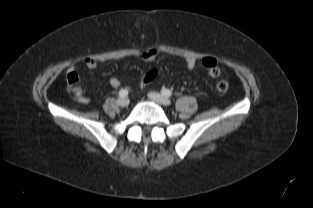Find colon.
I'll return each mask as SVG.
<instances>
[{"mask_svg":"<svg viewBox=\"0 0 313 208\" xmlns=\"http://www.w3.org/2000/svg\"><path fill=\"white\" fill-rule=\"evenodd\" d=\"M209 75L212 77H217L220 74V69L218 66H214L211 67L209 70ZM158 76V72L155 69L149 70L148 72H146L142 77H141V81L143 84H149L152 81H154L156 79V77ZM76 82L75 78L72 77L71 78V84H74ZM215 88L218 92H226L229 88V83L227 80L225 79H221L219 80L216 85Z\"/></svg>","mask_w":313,"mask_h":208,"instance_id":"5ec220e1","label":"colon"}]
</instances>
